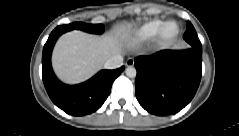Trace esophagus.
<instances>
[{"mask_svg": "<svg viewBox=\"0 0 239 136\" xmlns=\"http://www.w3.org/2000/svg\"><path fill=\"white\" fill-rule=\"evenodd\" d=\"M134 65V59L133 58H129L127 61H126V66H133Z\"/></svg>", "mask_w": 239, "mask_h": 136, "instance_id": "34e87169", "label": "esophagus"}]
</instances>
